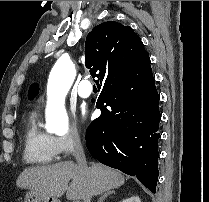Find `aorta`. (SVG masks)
Returning <instances> with one entry per match:
<instances>
[{"mask_svg": "<svg viewBox=\"0 0 209 202\" xmlns=\"http://www.w3.org/2000/svg\"><path fill=\"white\" fill-rule=\"evenodd\" d=\"M75 67L67 55H62L53 66L47 83V107L45 128L50 133L65 134L69 118L64 99L75 78Z\"/></svg>", "mask_w": 209, "mask_h": 202, "instance_id": "1", "label": "aorta"}]
</instances>
